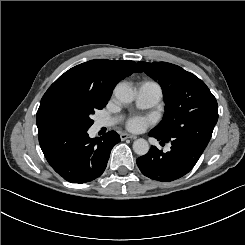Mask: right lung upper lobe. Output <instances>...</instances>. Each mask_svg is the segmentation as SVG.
<instances>
[{
    "mask_svg": "<svg viewBox=\"0 0 245 245\" xmlns=\"http://www.w3.org/2000/svg\"><path fill=\"white\" fill-rule=\"evenodd\" d=\"M134 72H142L134 61L95 59L62 74L46 91L36 115L38 133L51 130L50 109L64 96L90 97L106 103L116 84Z\"/></svg>",
    "mask_w": 245,
    "mask_h": 245,
    "instance_id": "right-lung-upper-lobe-1",
    "label": "right lung upper lobe"
}]
</instances>
